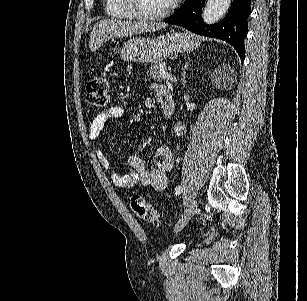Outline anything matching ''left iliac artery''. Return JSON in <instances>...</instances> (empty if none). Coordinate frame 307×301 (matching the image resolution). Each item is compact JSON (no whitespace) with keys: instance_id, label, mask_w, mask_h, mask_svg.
Masks as SVG:
<instances>
[{"instance_id":"obj_1","label":"left iliac artery","mask_w":307,"mask_h":301,"mask_svg":"<svg viewBox=\"0 0 307 301\" xmlns=\"http://www.w3.org/2000/svg\"><path fill=\"white\" fill-rule=\"evenodd\" d=\"M183 191V186L182 185H178L175 188V195L178 196L181 194V192Z\"/></svg>"}]
</instances>
